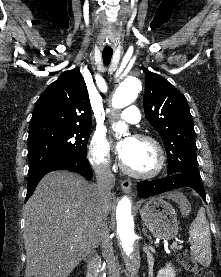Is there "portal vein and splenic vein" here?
I'll return each instance as SVG.
<instances>
[{
	"label": "portal vein and splenic vein",
	"mask_w": 221,
	"mask_h": 277,
	"mask_svg": "<svg viewBox=\"0 0 221 277\" xmlns=\"http://www.w3.org/2000/svg\"><path fill=\"white\" fill-rule=\"evenodd\" d=\"M179 246L177 245V242L176 241H174L172 244H171V246H170V248L171 249H175V248H178Z\"/></svg>",
	"instance_id": "obj_1"
}]
</instances>
